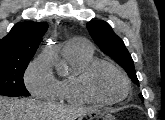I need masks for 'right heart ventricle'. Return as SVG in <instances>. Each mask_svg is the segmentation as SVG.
Instances as JSON below:
<instances>
[{
    "instance_id": "obj_1",
    "label": "right heart ventricle",
    "mask_w": 165,
    "mask_h": 120,
    "mask_svg": "<svg viewBox=\"0 0 165 120\" xmlns=\"http://www.w3.org/2000/svg\"><path fill=\"white\" fill-rule=\"evenodd\" d=\"M64 57L70 66V74L58 81L56 100L68 104L90 103L80 90V78L83 70L95 60L92 51H64Z\"/></svg>"
}]
</instances>
